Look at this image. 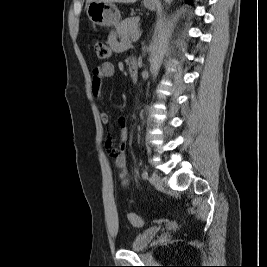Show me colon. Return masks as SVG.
Here are the masks:
<instances>
[{"instance_id": "colon-1", "label": "colon", "mask_w": 267, "mask_h": 267, "mask_svg": "<svg viewBox=\"0 0 267 267\" xmlns=\"http://www.w3.org/2000/svg\"><path fill=\"white\" fill-rule=\"evenodd\" d=\"M94 49L97 56L101 59H106L111 56V48L103 42L96 41L94 44ZM128 220L130 224L134 227L142 226V219L135 213H129Z\"/></svg>"}]
</instances>
